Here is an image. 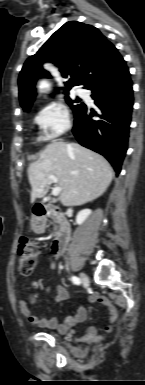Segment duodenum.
<instances>
[{
	"label": "duodenum",
	"instance_id": "obj_1",
	"mask_svg": "<svg viewBox=\"0 0 145 385\" xmlns=\"http://www.w3.org/2000/svg\"><path fill=\"white\" fill-rule=\"evenodd\" d=\"M34 226L39 232H43L46 226L45 218L49 215L58 220V232L52 242L51 250L54 255H60L67 247L71 238V227L63 213L54 205L40 202L34 210Z\"/></svg>",
	"mask_w": 145,
	"mask_h": 385
}]
</instances>
